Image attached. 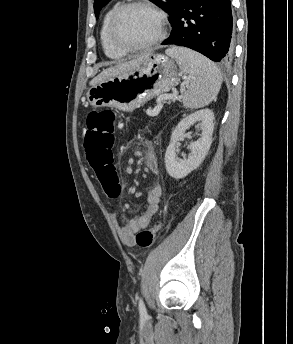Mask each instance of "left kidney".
Masks as SVG:
<instances>
[{"label":"left kidney","instance_id":"left-kidney-1","mask_svg":"<svg viewBox=\"0 0 293 344\" xmlns=\"http://www.w3.org/2000/svg\"><path fill=\"white\" fill-rule=\"evenodd\" d=\"M213 121V112L210 109H202L186 116L178 123L172 132L165 153L166 170L172 178L181 179L186 177L203 162L212 143ZM196 123L201 127V137L190 144L191 153L188 158L181 159L177 156L178 140L184 137L186 130Z\"/></svg>","mask_w":293,"mask_h":344}]
</instances>
